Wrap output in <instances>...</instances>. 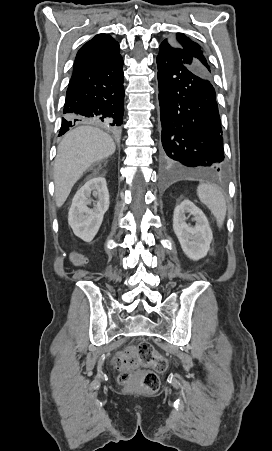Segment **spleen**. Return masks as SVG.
<instances>
[{
	"instance_id": "obj_1",
	"label": "spleen",
	"mask_w": 272,
	"mask_h": 451,
	"mask_svg": "<svg viewBox=\"0 0 272 451\" xmlns=\"http://www.w3.org/2000/svg\"><path fill=\"white\" fill-rule=\"evenodd\" d=\"M197 196L200 202L205 204V206L211 210L213 216L216 218L218 226L222 227L227 212V206L220 188L215 186V184H199Z\"/></svg>"
}]
</instances>
